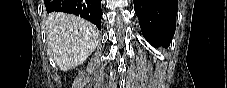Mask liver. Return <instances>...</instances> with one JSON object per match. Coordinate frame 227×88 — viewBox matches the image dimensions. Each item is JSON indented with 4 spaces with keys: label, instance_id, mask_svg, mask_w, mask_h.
<instances>
[{
    "label": "liver",
    "instance_id": "obj_1",
    "mask_svg": "<svg viewBox=\"0 0 227 88\" xmlns=\"http://www.w3.org/2000/svg\"><path fill=\"white\" fill-rule=\"evenodd\" d=\"M45 25L49 53L63 71L84 63L98 45L96 27L75 15L53 12Z\"/></svg>",
    "mask_w": 227,
    "mask_h": 88
}]
</instances>
